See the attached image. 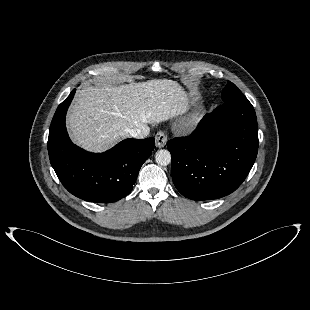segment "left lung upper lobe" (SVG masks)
<instances>
[{
	"mask_svg": "<svg viewBox=\"0 0 310 310\" xmlns=\"http://www.w3.org/2000/svg\"><path fill=\"white\" fill-rule=\"evenodd\" d=\"M222 99L224 102H238L247 99L236 85L228 81V84L222 92Z\"/></svg>",
	"mask_w": 310,
	"mask_h": 310,
	"instance_id": "obj_1",
	"label": "left lung upper lobe"
}]
</instances>
